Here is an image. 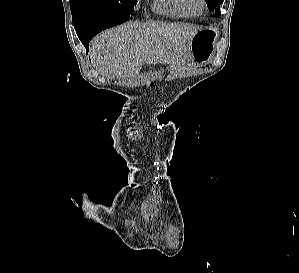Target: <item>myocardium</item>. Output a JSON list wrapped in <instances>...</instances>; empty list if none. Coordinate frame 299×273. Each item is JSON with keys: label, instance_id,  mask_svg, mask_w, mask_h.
<instances>
[{"label": "myocardium", "instance_id": "obj_1", "mask_svg": "<svg viewBox=\"0 0 299 273\" xmlns=\"http://www.w3.org/2000/svg\"><path fill=\"white\" fill-rule=\"evenodd\" d=\"M184 2V6L187 10V12L190 14V16L193 17H198L201 16L207 8V4H206V0H199L200 4H201V10L199 12H194L192 7H191V0H183Z\"/></svg>", "mask_w": 299, "mask_h": 273}]
</instances>
